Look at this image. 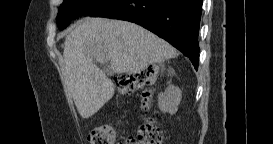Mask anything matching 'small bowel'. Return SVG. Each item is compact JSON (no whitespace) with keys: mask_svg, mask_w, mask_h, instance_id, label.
<instances>
[{"mask_svg":"<svg viewBox=\"0 0 273 144\" xmlns=\"http://www.w3.org/2000/svg\"><path fill=\"white\" fill-rule=\"evenodd\" d=\"M125 144H127V143H132L131 141H126V142H124Z\"/></svg>","mask_w":273,"mask_h":144,"instance_id":"1","label":"small bowel"}]
</instances>
